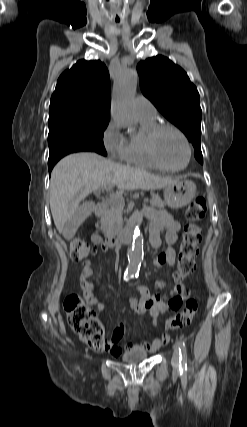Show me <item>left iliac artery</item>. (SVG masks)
<instances>
[{
  "label": "left iliac artery",
  "instance_id": "44dca946",
  "mask_svg": "<svg viewBox=\"0 0 247 427\" xmlns=\"http://www.w3.org/2000/svg\"><path fill=\"white\" fill-rule=\"evenodd\" d=\"M135 277H138V275H136ZM178 345H179V354H180V359H179L180 369L186 370L187 369V350H186V345L184 340L182 339L179 340Z\"/></svg>",
  "mask_w": 247,
  "mask_h": 427
}]
</instances>
